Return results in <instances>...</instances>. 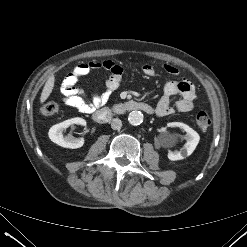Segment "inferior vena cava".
I'll return each mask as SVG.
<instances>
[{"instance_id": "602c4592", "label": "inferior vena cava", "mask_w": 247, "mask_h": 247, "mask_svg": "<svg viewBox=\"0 0 247 247\" xmlns=\"http://www.w3.org/2000/svg\"><path fill=\"white\" fill-rule=\"evenodd\" d=\"M122 127V121L119 118H114L111 122V128L113 130H120Z\"/></svg>"}]
</instances>
